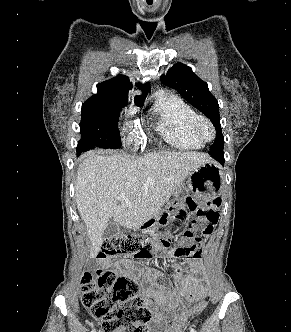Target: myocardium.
Listing matches in <instances>:
<instances>
[{
  "label": "myocardium",
  "instance_id": "f54148a6",
  "mask_svg": "<svg viewBox=\"0 0 291 332\" xmlns=\"http://www.w3.org/2000/svg\"><path fill=\"white\" fill-rule=\"evenodd\" d=\"M204 129H208L209 135H205ZM193 132L198 139L205 142H210L215 138L216 131L212 122L204 117L199 116L193 123Z\"/></svg>",
  "mask_w": 291,
  "mask_h": 332
}]
</instances>
